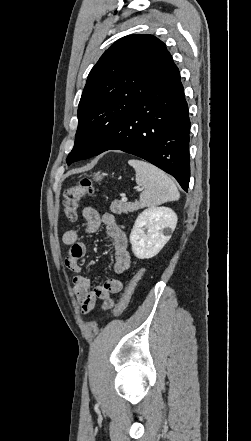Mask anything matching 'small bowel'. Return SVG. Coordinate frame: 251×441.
Masks as SVG:
<instances>
[{"label":"small bowel","instance_id":"small-bowel-1","mask_svg":"<svg viewBox=\"0 0 251 441\" xmlns=\"http://www.w3.org/2000/svg\"><path fill=\"white\" fill-rule=\"evenodd\" d=\"M85 220V231L95 233L101 225H104L107 236L114 249V271L123 274L130 268L131 256L128 250V238L126 233L117 223L111 213L100 215L96 209L87 206L82 210ZM62 241L70 247L69 255L65 259L66 267L76 275L73 278V290L83 313L90 312L96 305L97 300L103 301V308L113 306L112 295L120 292L123 283L119 278L113 277L102 284L92 287L91 280L83 275L81 260L87 253L86 245L80 241L77 230H68L62 236Z\"/></svg>","mask_w":251,"mask_h":441}]
</instances>
